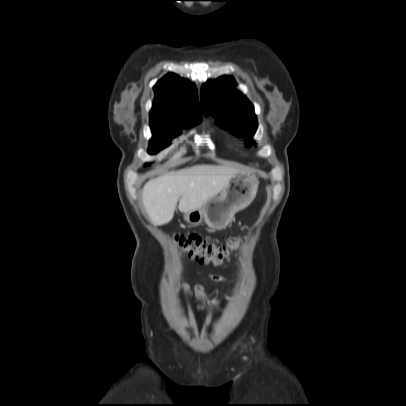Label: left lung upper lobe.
<instances>
[{
  "label": "left lung upper lobe",
  "instance_id": "obj_1",
  "mask_svg": "<svg viewBox=\"0 0 406 406\" xmlns=\"http://www.w3.org/2000/svg\"><path fill=\"white\" fill-rule=\"evenodd\" d=\"M234 85V79L228 76L209 80L202 86L203 109L205 115L212 114L216 123L224 129L235 135L246 136L247 147H250L257 129L254 108L245 96L235 90Z\"/></svg>",
  "mask_w": 406,
  "mask_h": 406
}]
</instances>
